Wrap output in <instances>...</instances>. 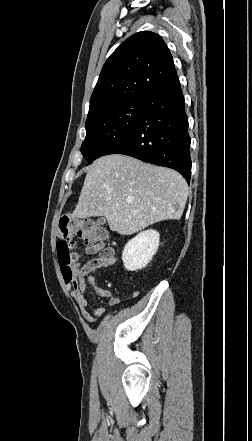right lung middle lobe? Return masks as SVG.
Returning a JSON list of instances; mask_svg holds the SVG:
<instances>
[{
	"label": "right lung middle lobe",
	"instance_id": "right-lung-middle-lobe-1",
	"mask_svg": "<svg viewBox=\"0 0 252 441\" xmlns=\"http://www.w3.org/2000/svg\"><path fill=\"white\" fill-rule=\"evenodd\" d=\"M142 98L123 102L105 108L91 116L85 123L86 138L81 153L89 164L104 156L106 152L123 139L136 125L142 112Z\"/></svg>",
	"mask_w": 252,
	"mask_h": 441
}]
</instances>
